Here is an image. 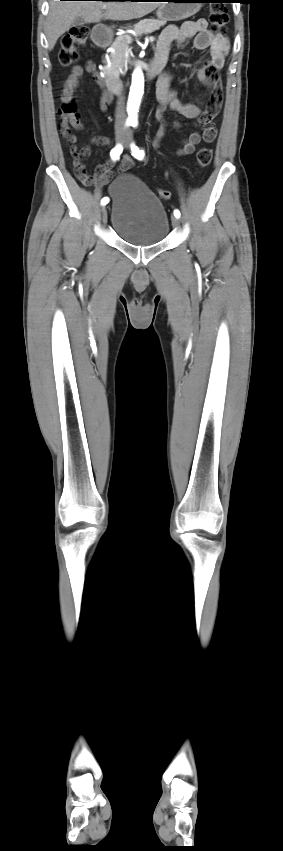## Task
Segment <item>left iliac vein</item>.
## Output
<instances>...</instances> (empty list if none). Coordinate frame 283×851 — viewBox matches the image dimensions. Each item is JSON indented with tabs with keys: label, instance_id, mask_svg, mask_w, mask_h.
Returning a JSON list of instances; mask_svg holds the SVG:
<instances>
[{
	"label": "left iliac vein",
	"instance_id": "obj_1",
	"mask_svg": "<svg viewBox=\"0 0 283 851\" xmlns=\"http://www.w3.org/2000/svg\"><path fill=\"white\" fill-rule=\"evenodd\" d=\"M171 222H172V226H173L174 228H178V227H179V219H178L177 217H172V218H171Z\"/></svg>",
	"mask_w": 283,
	"mask_h": 851
}]
</instances>
